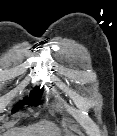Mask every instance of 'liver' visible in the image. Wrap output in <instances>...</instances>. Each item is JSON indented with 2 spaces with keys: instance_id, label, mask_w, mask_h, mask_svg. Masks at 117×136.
<instances>
[{
  "instance_id": "1",
  "label": "liver",
  "mask_w": 117,
  "mask_h": 136,
  "mask_svg": "<svg viewBox=\"0 0 117 136\" xmlns=\"http://www.w3.org/2000/svg\"><path fill=\"white\" fill-rule=\"evenodd\" d=\"M41 127H43V125L41 123H39V124L34 125L33 128H41ZM24 134H30V133H24ZM28 136H31V135H28Z\"/></svg>"
}]
</instances>
